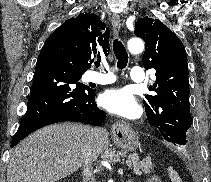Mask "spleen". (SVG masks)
<instances>
[{"label": "spleen", "mask_w": 211, "mask_h": 182, "mask_svg": "<svg viewBox=\"0 0 211 182\" xmlns=\"http://www.w3.org/2000/svg\"><path fill=\"white\" fill-rule=\"evenodd\" d=\"M168 175L172 182H182L178 173L173 169L172 166L168 167Z\"/></svg>", "instance_id": "3e777b00"}]
</instances>
